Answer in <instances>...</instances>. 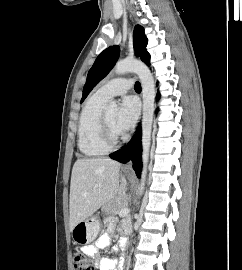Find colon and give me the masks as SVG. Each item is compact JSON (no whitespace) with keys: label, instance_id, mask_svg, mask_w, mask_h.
Returning a JSON list of instances; mask_svg holds the SVG:
<instances>
[{"label":"colon","instance_id":"obj_1","mask_svg":"<svg viewBox=\"0 0 242 270\" xmlns=\"http://www.w3.org/2000/svg\"><path fill=\"white\" fill-rule=\"evenodd\" d=\"M74 270H95V268L89 256L76 253L74 256Z\"/></svg>","mask_w":242,"mask_h":270}]
</instances>
